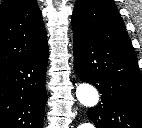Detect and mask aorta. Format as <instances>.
<instances>
[{"label":"aorta","mask_w":142,"mask_h":128,"mask_svg":"<svg viewBox=\"0 0 142 128\" xmlns=\"http://www.w3.org/2000/svg\"><path fill=\"white\" fill-rule=\"evenodd\" d=\"M77 100L86 107H94L99 102L97 90L90 84L81 83L76 88ZM81 128H93L90 123L81 125Z\"/></svg>","instance_id":"obj_1"}]
</instances>
